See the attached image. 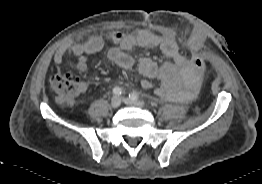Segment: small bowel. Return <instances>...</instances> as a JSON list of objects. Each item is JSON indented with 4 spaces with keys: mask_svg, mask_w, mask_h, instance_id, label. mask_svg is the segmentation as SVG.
<instances>
[{
    "mask_svg": "<svg viewBox=\"0 0 262 184\" xmlns=\"http://www.w3.org/2000/svg\"><path fill=\"white\" fill-rule=\"evenodd\" d=\"M206 39V27L199 25L190 31L186 50H198ZM106 41L115 45L107 54L111 62L124 70H130L137 64L140 73L145 77L140 83L143 89H151L152 80L157 79L161 85L154 92L160 98L177 102H188L196 98L203 72L188 65V57L181 53L172 36L148 31H111L107 34ZM103 46L104 39L100 36H92L83 43H67L56 50L53 61L59 65L66 55H74L77 57V69L85 72L88 69V56L98 53ZM137 47L157 48L166 57V61L157 64L149 58H140L136 62L129 52ZM85 88L86 84L81 83V89Z\"/></svg>",
    "mask_w": 262,
    "mask_h": 184,
    "instance_id": "obj_1",
    "label": "small bowel"
}]
</instances>
